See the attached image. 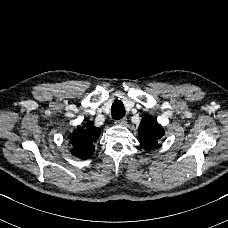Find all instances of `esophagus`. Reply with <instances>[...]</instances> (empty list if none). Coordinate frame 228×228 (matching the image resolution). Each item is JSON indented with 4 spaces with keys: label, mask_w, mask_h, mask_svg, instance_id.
Returning a JSON list of instances; mask_svg holds the SVG:
<instances>
[{
    "label": "esophagus",
    "mask_w": 228,
    "mask_h": 228,
    "mask_svg": "<svg viewBox=\"0 0 228 228\" xmlns=\"http://www.w3.org/2000/svg\"><path fill=\"white\" fill-rule=\"evenodd\" d=\"M115 124L124 126V125L127 124V118L124 117V118H122V119H119V120H117V121L115 122Z\"/></svg>",
    "instance_id": "34e87169"
}]
</instances>
